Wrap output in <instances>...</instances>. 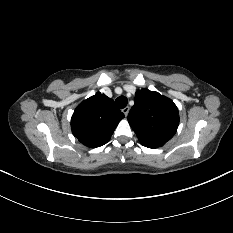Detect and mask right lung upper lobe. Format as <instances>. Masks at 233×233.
I'll list each match as a JSON object with an SVG mask.
<instances>
[{
  "mask_svg": "<svg viewBox=\"0 0 233 233\" xmlns=\"http://www.w3.org/2000/svg\"><path fill=\"white\" fill-rule=\"evenodd\" d=\"M124 114L112 99L100 92L83 101L71 118V129L83 145L96 148L106 144Z\"/></svg>",
  "mask_w": 233,
  "mask_h": 233,
  "instance_id": "cb5924a9",
  "label": "right lung upper lobe"
}]
</instances>
